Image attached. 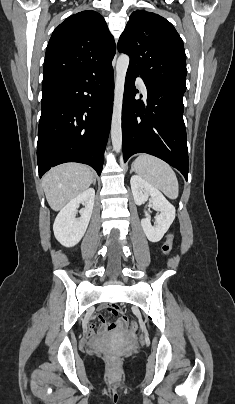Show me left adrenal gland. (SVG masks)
Instances as JSON below:
<instances>
[{
    "mask_svg": "<svg viewBox=\"0 0 235 404\" xmlns=\"http://www.w3.org/2000/svg\"><path fill=\"white\" fill-rule=\"evenodd\" d=\"M134 171V167L131 166L130 174Z\"/></svg>",
    "mask_w": 235,
    "mask_h": 404,
    "instance_id": "a2214340",
    "label": "left adrenal gland"
}]
</instances>
